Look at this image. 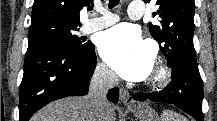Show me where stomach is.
Segmentation results:
<instances>
[{
	"label": "stomach",
	"instance_id": "0dacf381",
	"mask_svg": "<svg viewBox=\"0 0 217 121\" xmlns=\"http://www.w3.org/2000/svg\"><path fill=\"white\" fill-rule=\"evenodd\" d=\"M129 110L138 121H160L157 112L148 104L141 103Z\"/></svg>",
	"mask_w": 217,
	"mask_h": 121
}]
</instances>
